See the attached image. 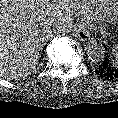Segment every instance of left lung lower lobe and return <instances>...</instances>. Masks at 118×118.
<instances>
[{
  "label": "left lung lower lobe",
  "instance_id": "1",
  "mask_svg": "<svg viewBox=\"0 0 118 118\" xmlns=\"http://www.w3.org/2000/svg\"><path fill=\"white\" fill-rule=\"evenodd\" d=\"M104 47L107 50V46L104 45ZM96 73L103 80L118 82V65H113L109 57H106L101 65L96 69Z\"/></svg>",
  "mask_w": 118,
  "mask_h": 118
}]
</instances>
